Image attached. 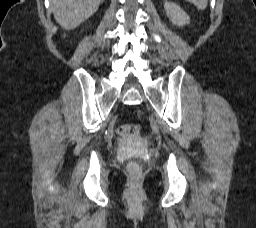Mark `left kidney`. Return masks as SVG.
Listing matches in <instances>:
<instances>
[{
    "instance_id": "5707ae66",
    "label": "left kidney",
    "mask_w": 256,
    "mask_h": 228,
    "mask_svg": "<svg viewBox=\"0 0 256 228\" xmlns=\"http://www.w3.org/2000/svg\"><path fill=\"white\" fill-rule=\"evenodd\" d=\"M164 9L174 25L183 26L190 22V17L185 11L173 2H165Z\"/></svg>"
}]
</instances>
